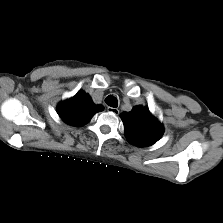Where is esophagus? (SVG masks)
<instances>
[{"label":"esophagus","instance_id":"1","mask_svg":"<svg viewBox=\"0 0 223 223\" xmlns=\"http://www.w3.org/2000/svg\"><path fill=\"white\" fill-rule=\"evenodd\" d=\"M107 111H108L109 113L114 114V115H118V114H119V110H118V108L108 107V108H107Z\"/></svg>","mask_w":223,"mask_h":223}]
</instances>
